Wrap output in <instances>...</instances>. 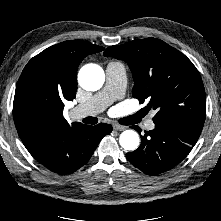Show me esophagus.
Here are the masks:
<instances>
[{"mask_svg": "<svg viewBox=\"0 0 221 221\" xmlns=\"http://www.w3.org/2000/svg\"><path fill=\"white\" fill-rule=\"evenodd\" d=\"M113 129H114V130H117V131H123V130L126 129V127H125V126L118 125V124H114V125H113Z\"/></svg>", "mask_w": 221, "mask_h": 221, "instance_id": "obj_1", "label": "esophagus"}]
</instances>
